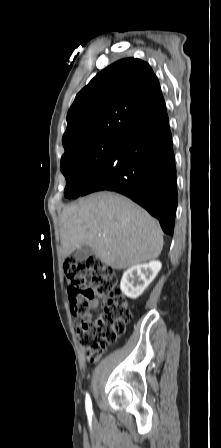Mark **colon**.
<instances>
[{"label": "colon", "instance_id": "1", "mask_svg": "<svg viewBox=\"0 0 221 448\" xmlns=\"http://www.w3.org/2000/svg\"><path fill=\"white\" fill-rule=\"evenodd\" d=\"M67 291L72 314L79 317L76 337L88 358L96 362L104 350L124 333L131 319L128 303L121 297L112 268L100 259L85 261L73 258L64 265ZM97 297H106L102 313L92 319L90 309Z\"/></svg>", "mask_w": 221, "mask_h": 448}]
</instances>
